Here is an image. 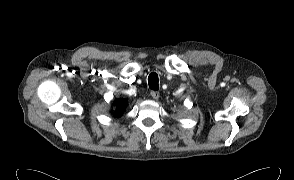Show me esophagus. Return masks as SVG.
<instances>
[{"instance_id": "esophagus-1", "label": "esophagus", "mask_w": 294, "mask_h": 180, "mask_svg": "<svg viewBox=\"0 0 294 180\" xmlns=\"http://www.w3.org/2000/svg\"><path fill=\"white\" fill-rule=\"evenodd\" d=\"M150 95L152 96L153 99L157 100L160 97V93L158 91L152 90L150 92Z\"/></svg>"}]
</instances>
